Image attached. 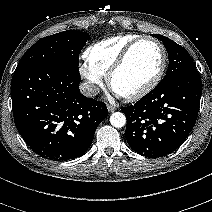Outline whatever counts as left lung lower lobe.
I'll return each instance as SVG.
<instances>
[{"mask_svg":"<svg viewBox=\"0 0 212 212\" xmlns=\"http://www.w3.org/2000/svg\"><path fill=\"white\" fill-rule=\"evenodd\" d=\"M202 84L198 71L156 86L134 105L123 107L130 147L146 157H163L185 141L197 120Z\"/></svg>","mask_w":212,"mask_h":212,"instance_id":"left-lung-lower-lobe-1","label":"left lung lower lobe"}]
</instances>
